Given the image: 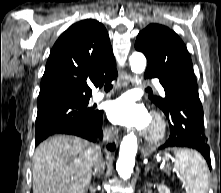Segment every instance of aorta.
Here are the masks:
<instances>
[{"mask_svg": "<svg viewBox=\"0 0 221 193\" xmlns=\"http://www.w3.org/2000/svg\"><path fill=\"white\" fill-rule=\"evenodd\" d=\"M130 67L133 73L141 74L146 69V58L141 52H133L129 57ZM136 83L141 80L135 77ZM138 149L137 137L134 134L126 135L120 145L119 158L116 170L119 176L127 180L131 177L135 165V156Z\"/></svg>", "mask_w": 221, "mask_h": 193, "instance_id": "762f6f07", "label": "aorta"}]
</instances>
